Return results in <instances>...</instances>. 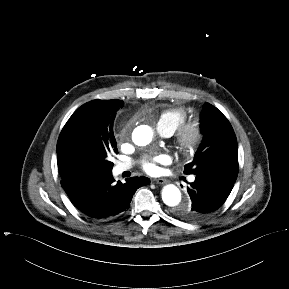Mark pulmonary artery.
Here are the masks:
<instances>
[{
    "label": "pulmonary artery",
    "instance_id": "e3ab8cb5",
    "mask_svg": "<svg viewBox=\"0 0 289 289\" xmlns=\"http://www.w3.org/2000/svg\"><path fill=\"white\" fill-rule=\"evenodd\" d=\"M157 130L160 134L164 135V136H170L171 132H169L168 130H165L164 128H162L161 126H157ZM130 168V165L127 163H117L114 167V174L115 175H119L122 172L128 170ZM195 180L194 176H191L189 178V181L193 182Z\"/></svg>",
    "mask_w": 289,
    "mask_h": 289
}]
</instances>
